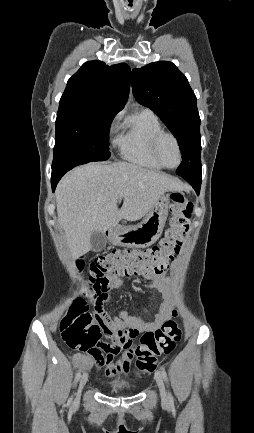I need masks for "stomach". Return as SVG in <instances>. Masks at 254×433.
I'll list each match as a JSON object with an SVG mask.
<instances>
[{"instance_id":"stomach-1","label":"stomach","mask_w":254,"mask_h":433,"mask_svg":"<svg viewBox=\"0 0 254 433\" xmlns=\"http://www.w3.org/2000/svg\"><path fill=\"white\" fill-rule=\"evenodd\" d=\"M169 196L162 195L143 221L134 226L115 227L108 233L112 245L145 248L154 244L163 231L168 216Z\"/></svg>"}]
</instances>
